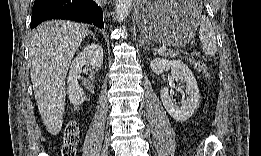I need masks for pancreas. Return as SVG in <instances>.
<instances>
[{"instance_id":"obj_1","label":"pancreas","mask_w":261,"mask_h":156,"mask_svg":"<svg viewBox=\"0 0 261 156\" xmlns=\"http://www.w3.org/2000/svg\"><path fill=\"white\" fill-rule=\"evenodd\" d=\"M167 55L176 56L177 54L174 51H169Z\"/></svg>"}]
</instances>
